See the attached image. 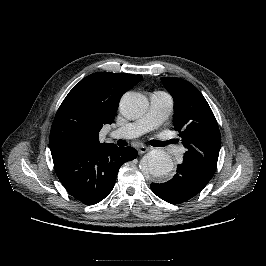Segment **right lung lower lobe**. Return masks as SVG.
Here are the masks:
<instances>
[{
    "label": "right lung lower lobe",
    "mask_w": 266,
    "mask_h": 266,
    "mask_svg": "<svg viewBox=\"0 0 266 266\" xmlns=\"http://www.w3.org/2000/svg\"><path fill=\"white\" fill-rule=\"evenodd\" d=\"M136 157V149L114 144L52 156L63 186L86 205L103 200L112 191L121 165Z\"/></svg>",
    "instance_id": "98d812e1"
}]
</instances>
